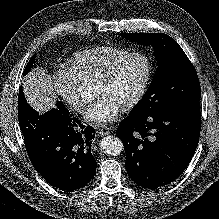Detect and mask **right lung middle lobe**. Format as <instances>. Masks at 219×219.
I'll return each instance as SVG.
<instances>
[{
	"label": "right lung middle lobe",
	"mask_w": 219,
	"mask_h": 219,
	"mask_svg": "<svg viewBox=\"0 0 219 219\" xmlns=\"http://www.w3.org/2000/svg\"><path fill=\"white\" fill-rule=\"evenodd\" d=\"M34 61H35V55H33V56L31 57V59L29 60L27 66H26V68H25V70H24V72H23L24 75L27 74V73L31 70ZM57 104H59V105H64L62 102H58Z\"/></svg>",
	"instance_id": "dd1d6c3e"
}]
</instances>
